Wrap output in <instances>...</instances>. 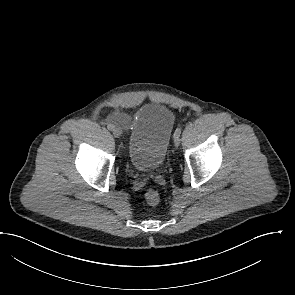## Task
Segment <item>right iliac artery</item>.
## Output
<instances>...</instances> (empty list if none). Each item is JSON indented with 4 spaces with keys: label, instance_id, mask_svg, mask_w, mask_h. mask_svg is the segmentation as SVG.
<instances>
[{
    "label": "right iliac artery",
    "instance_id": "1",
    "mask_svg": "<svg viewBox=\"0 0 295 295\" xmlns=\"http://www.w3.org/2000/svg\"><path fill=\"white\" fill-rule=\"evenodd\" d=\"M107 128H108V130H113V129H114V125L109 124V125L107 126Z\"/></svg>",
    "mask_w": 295,
    "mask_h": 295
}]
</instances>
